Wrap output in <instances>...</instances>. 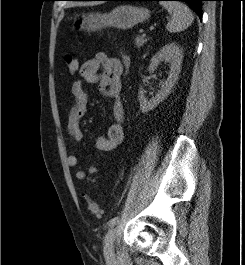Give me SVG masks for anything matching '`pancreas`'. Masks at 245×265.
Returning a JSON list of instances; mask_svg holds the SVG:
<instances>
[{
    "label": "pancreas",
    "instance_id": "obj_1",
    "mask_svg": "<svg viewBox=\"0 0 245 265\" xmlns=\"http://www.w3.org/2000/svg\"><path fill=\"white\" fill-rule=\"evenodd\" d=\"M146 42H147V39L143 36H140V35H138L134 40L135 46L138 48L142 47L144 45V43H146Z\"/></svg>",
    "mask_w": 245,
    "mask_h": 265
}]
</instances>
